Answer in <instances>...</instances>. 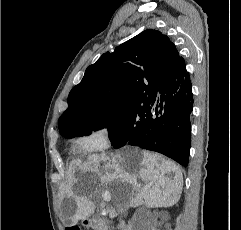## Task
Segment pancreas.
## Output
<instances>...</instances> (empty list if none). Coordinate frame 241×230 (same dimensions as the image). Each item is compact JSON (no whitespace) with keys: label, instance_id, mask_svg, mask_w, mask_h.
Returning a JSON list of instances; mask_svg holds the SVG:
<instances>
[{"label":"pancreas","instance_id":"1","mask_svg":"<svg viewBox=\"0 0 241 230\" xmlns=\"http://www.w3.org/2000/svg\"><path fill=\"white\" fill-rule=\"evenodd\" d=\"M97 230H104L102 226H98Z\"/></svg>","mask_w":241,"mask_h":230}]
</instances>
